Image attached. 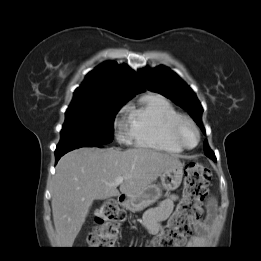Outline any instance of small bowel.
Listing matches in <instances>:
<instances>
[{
  "label": "small bowel",
  "mask_w": 261,
  "mask_h": 261,
  "mask_svg": "<svg viewBox=\"0 0 261 261\" xmlns=\"http://www.w3.org/2000/svg\"><path fill=\"white\" fill-rule=\"evenodd\" d=\"M176 195L165 196L159 205L150 210L146 215V225L150 232L157 233L160 230L161 224L167 220L173 212L174 202L177 200ZM208 217L204 222H196L194 225L195 235L191 237L187 245L190 247L202 243L208 232L209 226L214 218L215 204L212 199L208 201Z\"/></svg>",
  "instance_id": "c3829d8e"
}]
</instances>
